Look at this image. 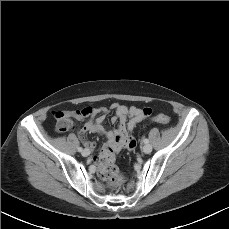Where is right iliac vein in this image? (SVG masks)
Returning a JSON list of instances; mask_svg holds the SVG:
<instances>
[{"label": "right iliac vein", "mask_w": 229, "mask_h": 229, "mask_svg": "<svg viewBox=\"0 0 229 229\" xmlns=\"http://www.w3.org/2000/svg\"><path fill=\"white\" fill-rule=\"evenodd\" d=\"M82 155H83L84 157H87L88 155H90V150H88V149L83 150V151H82Z\"/></svg>", "instance_id": "obj_1"}]
</instances>
